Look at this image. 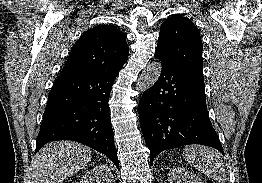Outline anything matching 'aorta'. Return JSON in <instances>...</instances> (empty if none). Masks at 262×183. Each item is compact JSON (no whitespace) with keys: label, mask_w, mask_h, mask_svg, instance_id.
<instances>
[{"label":"aorta","mask_w":262,"mask_h":183,"mask_svg":"<svg viewBox=\"0 0 262 183\" xmlns=\"http://www.w3.org/2000/svg\"><path fill=\"white\" fill-rule=\"evenodd\" d=\"M161 70L162 64L160 61H153L150 63L141 73L136 83V89L143 92L153 86L160 77Z\"/></svg>","instance_id":"aorta-1"}]
</instances>
